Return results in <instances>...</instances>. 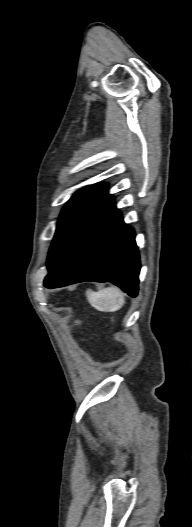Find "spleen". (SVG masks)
I'll use <instances>...</instances> for the list:
<instances>
[{
	"label": "spleen",
	"instance_id": "obj_1",
	"mask_svg": "<svg viewBox=\"0 0 192 527\" xmlns=\"http://www.w3.org/2000/svg\"><path fill=\"white\" fill-rule=\"evenodd\" d=\"M86 296L91 306L99 311H117L125 302L123 293L115 287L105 288L98 292L87 290Z\"/></svg>",
	"mask_w": 192,
	"mask_h": 527
}]
</instances>
